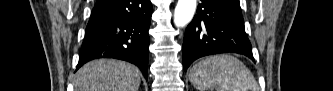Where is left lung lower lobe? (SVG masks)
<instances>
[{
	"label": "left lung lower lobe",
	"mask_w": 333,
	"mask_h": 91,
	"mask_svg": "<svg viewBox=\"0 0 333 91\" xmlns=\"http://www.w3.org/2000/svg\"><path fill=\"white\" fill-rule=\"evenodd\" d=\"M182 49L185 71L194 60L218 53H239L254 60L239 0H201L185 30Z\"/></svg>",
	"instance_id": "left-lung-lower-lobe-1"
}]
</instances>
